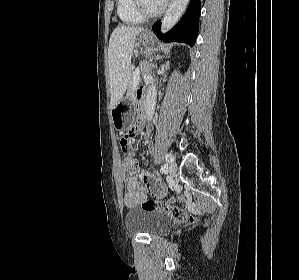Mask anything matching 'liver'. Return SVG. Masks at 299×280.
<instances>
[{
    "mask_svg": "<svg viewBox=\"0 0 299 280\" xmlns=\"http://www.w3.org/2000/svg\"><path fill=\"white\" fill-rule=\"evenodd\" d=\"M140 27L117 26L109 40L108 63L111 100L113 109L122 99L131 79V59L136 37L143 31Z\"/></svg>",
    "mask_w": 299,
    "mask_h": 280,
    "instance_id": "6515ba94",
    "label": "liver"
}]
</instances>
